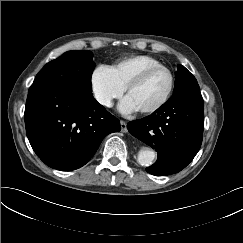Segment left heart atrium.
Segmentation results:
<instances>
[{
	"label": "left heart atrium",
	"mask_w": 243,
	"mask_h": 243,
	"mask_svg": "<svg viewBox=\"0 0 243 243\" xmlns=\"http://www.w3.org/2000/svg\"><path fill=\"white\" fill-rule=\"evenodd\" d=\"M119 111L122 114L128 115L135 111H138L134 105L125 97L123 101L119 104Z\"/></svg>",
	"instance_id": "obj_1"
}]
</instances>
